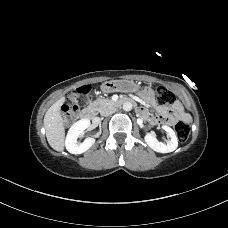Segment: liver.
Segmentation results:
<instances>
[{
  "mask_svg": "<svg viewBox=\"0 0 228 228\" xmlns=\"http://www.w3.org/2000/svg\"><path fill=\"white\" fill-rule=\"evenodd\" d=\"M64 101L65 97L59 99L47 110L44 116L47 141L56 151L64 150L65 128L60 112V108Z\"/></svg>",
  "mask_w": 228,
  "mask_h": 228,
  "instance_id": "obj_1",
  "label": "liver"
}]
</instances>
